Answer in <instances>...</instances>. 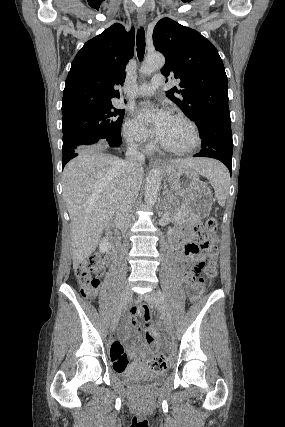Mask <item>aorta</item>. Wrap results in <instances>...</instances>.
<instances>
[{
    "instance_id": "aorta-1",
    "label": "aorta",
    "mask_w": 285,
    "mask_h": 427,
    "mask_svg": "<svg viewBox=\"0 0 285 427\" xmlns=\"http://www.w3.org/2000/svg\"><path fill=\"white\" fill-rule=\"evenodd\" d=\"M165 64V57L161 53H152L147 55L143 64L141 65V73L143 75H150L156 70L161 69ZM160 171L157 168H153L145 184V195L144 201L147 207H152L156 203L158 192L160 189Z\"/></svg>"
}]
</instances>
